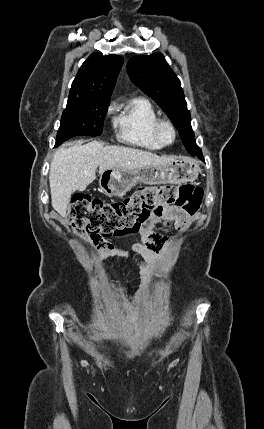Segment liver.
Listing matches in <instances>:
<instances>
[{"instance_id": "6515ba94", "label": "liver", "mask_w": 264, "mask_h": 429, "mask_svg": "<svg viewBox=\"0 0 264 429\" xmlns=\"http://www.w3.org/2000/svg\"><path fill=\"white\" fill-rule=\"evenodd\" d=\"M175 159L129 147H104L98 141L61 146L53 156L49 172L52 207L65 217L72 193L84 191L95 180L98 167L101 174L108 169L137 170L166 165Z\"/></svg>"}]
</instances>
